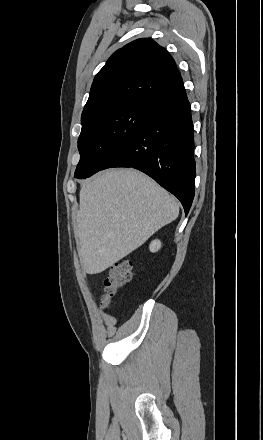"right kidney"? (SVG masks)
<instances>
[{
	"label": "right kidney",
	"mask_w": 263,
	"mask_h": 440,
	"mask_svg": "<svg viewBox=\"0 0 263 440\" xmlns=\"http://www.w3.org/2000/svg\"><path fill=\"white\" fill-rule=\"evenodd\" d=\"M161 248L160 240H154L151 242L149 249L151 252H157Z\"/></svg>",
	"instance_id": "right-kidney-1"
}]
</instances>
